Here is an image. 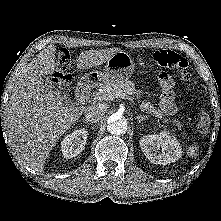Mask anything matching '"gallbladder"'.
<instances>
[{
  "mask_svg": "<svg viewBox=\"0 0 221 221\" xmlns=\"http://www.w3.org/2000/svg\"><path fill=\"white\" fill-rule=\"evenodd\" d=\"M43 83H44L45 89H46L48 92L54 94V95H55L57 98H59L61 101L69 102V99H68V97L66 96V94H63V93H61L60 91H58V90L55 88L53 82H52L50 79H48V78H43Z\"/></svg>",
  "mask_w": 221,
  "mask_h": 221,
  "instance_id": "1",
  "label": "gallbladder"
}]
</instances>
